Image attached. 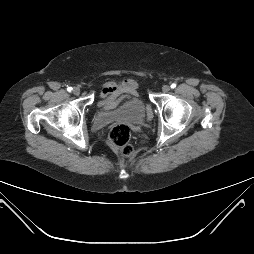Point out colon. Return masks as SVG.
<instances>
[{"instance_id":"obj_1","label":"colon","mask_w":254,"mask_h":254,"mask_svg":"<svg viewBox=\"0 0 254 254\" xmlns=\"http://www.w3.org/2000/svg\"><path fill=\"white\" fill-rule=\"evenodd\" d=\"M130 139V127L126 124H117L109 133L108 143L122 157H130L133 154Z\"/></svg>"}]
</instances>
